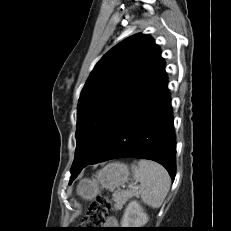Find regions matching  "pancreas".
Segmentation results:
<instances>
[{
    "label": "pancreas",
    "instance_id": "pancreas-1",
    "mask_svg": "<svg viewBox=\"0 0 231 231\" xmlns=\"http://www.w3.org/2000/svg\"><path fill=\"white\" fill-rule=\"evenodd\" d=\"M136 195L134 190H128L121 193H116L113 195V200L115 202L114 208L116 210L121 209L123 205L128 201V199L132 198Z\"/></svg>",
    "mask_w": 231,
    "mask_h": 231
}]
</instances>
